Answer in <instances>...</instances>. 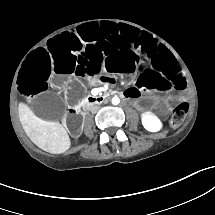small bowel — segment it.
I'll list each match as a JSON object with an SVG mask.
<instances>
[{
	"label": "small bowel",
	"mask_w": 215,
	"mask_h": 215,
	"mask_svg": "<svg viewBox=\"0 0 215 215\" xmlns=\"http://www.w3.org/2000/svg\"><path fill=\"white\" fill-rule=\"evenodd\" d=\"M129 92H130V91H129ZM129 92H128V94L125 95V96H134V95H135V91H131V94H129Z\"/></svg>",
	"instance_id": "c3829d8e"
}]
</instances>
